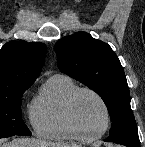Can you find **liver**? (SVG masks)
Here are the masks:
<instances>
[{
	"instance_id": "1",
	"label": "liver",
	"mask_w": 145,
	"mask_h": 147,
	"mask_svg": "<svg viewBox=\"0 0 145 147\" xmlns=\"http://www.w3.org/2000/svg\"><path fill=\"white\" fill-rule=\"evenodd\" d=\"M0 147H80L76 143H53L33 138H17L11 142L0 143Z\"/></svg>"
}]
</instances>
